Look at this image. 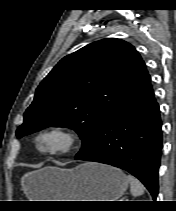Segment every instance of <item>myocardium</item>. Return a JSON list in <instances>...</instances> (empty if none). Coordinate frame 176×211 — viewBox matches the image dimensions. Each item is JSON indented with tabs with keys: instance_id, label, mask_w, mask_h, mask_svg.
<instances>
[{
	"instance_id": "myocardium-1",
	"label": "myocardium",
	"mask_w": 176,
	"mask_h": 211,
	"mask_svg": "<svg viewBox=\"0 0 176 211\" xmlns=\"http://www.w3.org/2000/svg\"><path fill=\"white\" fill-rule=\"evenodd\" d=\"M54 139L56 143L45 146V140ZM78 136L64 125H51L41 129L35 137V146L39 153L46 156L63 155L72 152L78 145Z\"/></svg>"
}]
</instances>
